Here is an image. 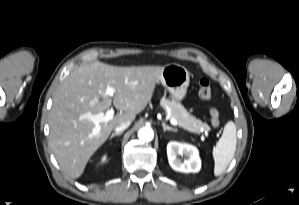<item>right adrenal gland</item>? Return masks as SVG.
Instances as JSON below:
<instances>
[{
    "mask_svg": "<svg viewBox=\"0 0 299 205\" xmlns=\"http://www.w3.org/2000/svg\"><path fill=\"white\" fill-rule=\"evenodd\" d=\"M123 132H115V133H112L111 136L109 137V139L111 140L114 136H120Z\"/></svg>",
    "mask_w": 299,
    "mask_h": 205,
    "instance_id": "1",
    "label": "right adrenal gland"
}]
</instances>
